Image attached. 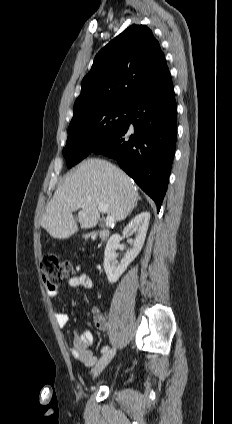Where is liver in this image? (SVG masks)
<instances>
[{"instance_id":"6515ba94","label":"liver","mask_w":232,"mask_h":424,"mask_svg":"<svg viewBox=\"0 0 232 424\" xmlns=\"http://www.w3.org/2000/svg\"><path fill=\"white\" fill-rule=\"evenodd\" d=\"M138 193L131 178L112 163L98 158L83 161L68 173L46 206L41 226L55 239H67L81 229L93 228L100 219L98 204L116 221L124 220L134 208Z\"/></svg>"}]
</instances>
